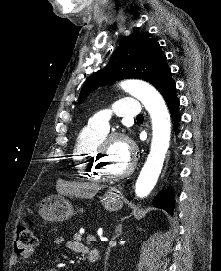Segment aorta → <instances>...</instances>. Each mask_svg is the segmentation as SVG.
Instances as JSON below:
<instances>
[{"label":"aorta","mask_w":221,"mask_h":271,"mask_svg":"<svg viewBox=\"0 0 221 271\" xmlns=\"http://www.w3.org/2000/svg\"><path fill=\"white\" fill-rule=\"evenodd\" d=\"M123 90L137 98L151 117L152 141L147 160L135 185L137 197L144 198L154 188L170 144L171 121L164 99L150 84L138 80L120 83Z\"/></svg>","instance_id":"1"}]
</instances>
